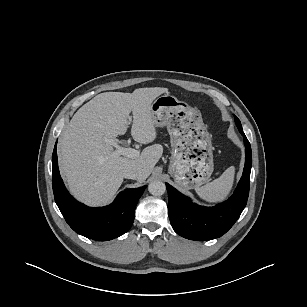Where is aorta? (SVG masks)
<instances>
[{"instance_id":"1","label":"aorta","mask_w":307,"mask_h":307,"mask_svg":"<svg viewBox=\"0 0 307 307\" xmlns=\"http://www.w3.org/2000/svg\"><path fill=\"white\" fill-rule=\"evenodd\" d=\"M148 191L154 196H160L165 193L166 185L162 181L155 180L148 185Z\"/></svg>"}]
</instances>
